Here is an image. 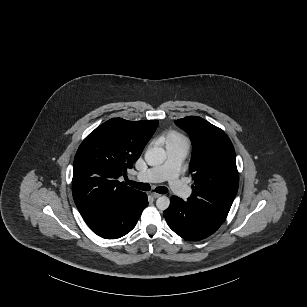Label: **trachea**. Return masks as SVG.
Masks as SVG:
<instances>
[{"label": "trachea", "instance_id": "1", "mask_svg": "<svg viewBox=\"0 0 307 307\" xmlns=\"http://www.w3.org/2000/svg\"><path fill=\"white\" fill-rule=\"evenodd\" d=\"M126 183L128 185H131L132 187H135L136 189H140L143 191H149L151 189L148 183H139V182L130 181V180H126ZM155 192L160 193V194H165L168 192V189L164 186H160L155 189Z\"/></svg>", "mask_w": 307, "mask_h": 307}]
</instances>
